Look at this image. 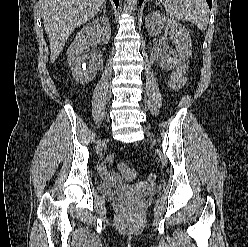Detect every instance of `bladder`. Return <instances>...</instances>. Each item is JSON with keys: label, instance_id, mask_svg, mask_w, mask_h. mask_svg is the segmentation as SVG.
<instances>
[{"label": "bladder", "instance_id": "31cf9c89", "mask_svg": "<svg viewBox=\"0 0 248 247\" xmlns=\"http://www.w3.org/2000/svg\"><path fill=\"white\" fill-rule=\"evenodd\" d=\"M127 188L116 185V184H101L100 192L107 196H119L121 193L125 192Z\"/></svg>", "mask_w": 248, "mask_h": 247}]
</instances>
